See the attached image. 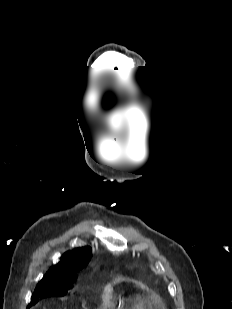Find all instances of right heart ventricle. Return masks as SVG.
<instances>
[{
    "label": "right heart ventricle",
    "instance_id": "1",
    "mask_svg": "<svg viewBox=\"0 0 232 309\" xmlns=\"http://www.w3.org/2000/svg\"><path fill=\"white\" fill-rule=\"evenodd\" d=\"M104 306H105V307H109V304L106 303ZM138 308H139V309H142L140 306H139Z\"/></svg>",
    "mask_w": 232,
    "mask_h": 309
}]
</instances>
